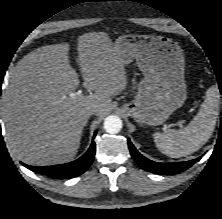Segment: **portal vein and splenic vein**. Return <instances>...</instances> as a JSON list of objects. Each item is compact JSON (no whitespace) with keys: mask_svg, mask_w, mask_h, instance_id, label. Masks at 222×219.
<instances>
[{"mask_svg":"<svg viewBox=\"0 0 222 219\" xmlns=\"http://www.w3.org/2000/svg\"><path fill=\"white\" fill-rule=\"evenodd\" d=\"M79 94H80V92H77V93H71L70 96H71V97H74V96H77V95H79Z\"/></svg>","mask_w":222,"mask_h":219,"instance_id":"portal-vein-and-splenic-vein-1","label":"portal vein and splenic vein"}]
</instances>
